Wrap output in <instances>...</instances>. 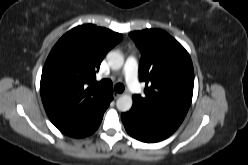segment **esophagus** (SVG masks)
I'll use <instances>...</instances> for the list:
<instances>
[{"label": "esophagus", "mask_w": 248, "mask_h": 165, "mask_svg": "<svg viewBox=\"0 0 248 165\" xmlns=\"http://www.w3.org/2000/svg\"><path fill=\"white\" fill-rule=\"evenodd\" d=\"M122 96V93L114 92V98L117 99Z\"/></svg>", "instance_id": "34e87169"}]
</instances>
